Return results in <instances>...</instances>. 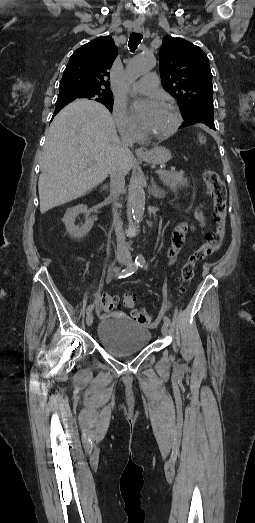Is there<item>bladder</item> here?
Masks as SVG:
<instances>
[{"mask_svg": "<svg viewBox=\"0 0 255 523\" xmlns=\"http://www.w3.org/2000/svg\"><path fill=\"white\" fill-rule=\"evenodd\" d=\"M118 327L113 319L104 318L97 331V338L107 352L128 355L139 352L149 344L151 332L148 328L135 324L129 319Z\"/></svg>", "mask_w": 255, "mask_h": 523, "instance_id": "31cf9c89", "label": "bladder"}]
</instances>
